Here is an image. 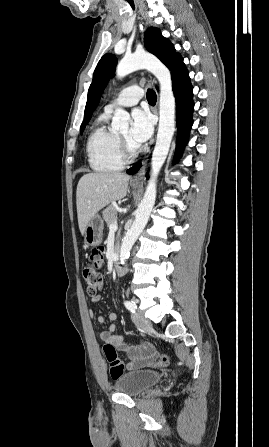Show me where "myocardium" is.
<instances>
[{
	"mask_svg": "<svg viewBox=\"0 0 269 447\" xmlns=\"http://www.w3.org/2000/svg\"><path fill=\"white\" fill-rule=\"evenodd\" d=\"M118 143L120 147V152L122 156V160L125 163L133 161L140 153L139 147H133L128 141L123 139L120 135H118Z\"/></svg>",
	"mask_w": 269,
	"mask_h": 447,
	"instance_id": "f54148a6",
	"label": "myocardium"
}]
</instances>
